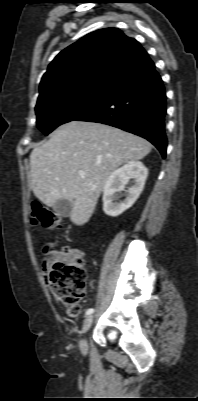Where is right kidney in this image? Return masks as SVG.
Here are the masks:
<instances>
[{
  "label": "right kidney",
  "mask_w": 198,
  "mask_h": 401,
  "mask_svg": "<svg viewBox=\"0 0 198 401\" xmlns=\"http://www.w3.org/2000/svg\"><path fill=\"white\" fill-rule=\"evenodd\" d=\"M148 169L140 161H131L115 170L107 179L103 188V210L105 214L116 217L129 209L143 191ZM133 180V186L127 190V196L123 202L116 203L115 193L125 189V185Z\"/></svg>",
  "instance_id": "right-kidney-1"
}]
</instances>
